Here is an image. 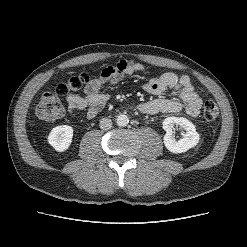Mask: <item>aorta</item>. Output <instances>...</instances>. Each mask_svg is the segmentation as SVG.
<instances>
[{"label": "aorta", "mask_w": 247, "mask_h": 247, "mask_svg": "<svg viewBox=\"0 0 247 247\" xmlns=\"http://www.w3.org/2000/svg\"><path fill=\"white\" fill-rule=\"evenodd\" d=\"M129 123V118L125 114H120L116 117V124L118 126H126Z\"/></svg>", "instance_id": "aorta-1"}]
</instances>
